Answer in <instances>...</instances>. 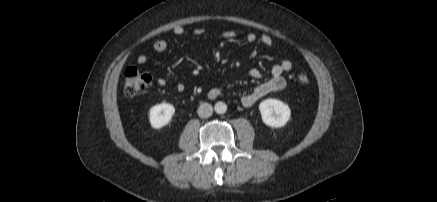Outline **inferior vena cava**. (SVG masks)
Returning a JSON list of instances; mask_svg holds the SVG:
<instances>
[{
	"mask_svg": "<svg viewBox=\"0 0 437 202\" xmlns=\"http://www.w3.org/2000/svg\"><path fill=\"white\" fill-rule=\"evenodd\" d=\"M197 113L200 118H208L213 113V107L209 103H202L197 110Z\"/></svg>",
	"mask_w": 437,
	"mask_h": 202,
	"instance_id": "inferior-vena-cava-1",
	"label": "inferior vena cava"
}]
</instances>
